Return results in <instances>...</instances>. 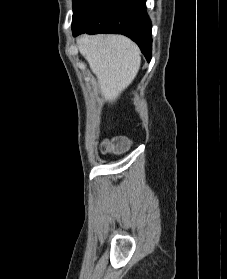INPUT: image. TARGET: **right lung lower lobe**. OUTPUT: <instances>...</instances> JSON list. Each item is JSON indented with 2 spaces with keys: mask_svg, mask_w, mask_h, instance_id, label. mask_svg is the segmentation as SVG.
Masks as SVG:
<instances>
[{
  "mask_svg": "<svg viewBox=\"0 0 227 279\" xmlns=\"http://www.w3.org/2000/svg\"><path fill=\"white\" fill-rule=\"evenodd\" d=\"M146 0H90L72 25L73 35L123 34L140 47L148 61L152 51V24Z\"/></svg>",
  "mask_w": 227,
  "mask_h": 279,
  "instance_id": "obj_1",
  "label": "right lung lower lobe"
}]
</instances>
